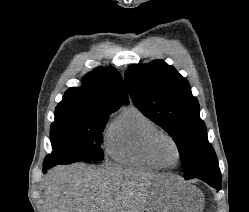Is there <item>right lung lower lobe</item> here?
<instances>
[{
    "label": "right lung lower lobe",
    "mask_w": 249,
    "mask_h": 212,
    "mask_svg": "<svg viewBox=\"0 0 249 212\" xmlns=\"http://www.w3.org/2000/svg\"><path fill=\"white\" fill-rule=\"evenodd\" d=\"M54 165H43V172L45 173L48 169L53 167Z\"/></svg>",
    "instance_id": "98d812e1"
}]
</instances>
